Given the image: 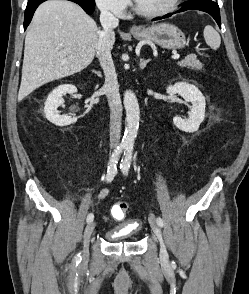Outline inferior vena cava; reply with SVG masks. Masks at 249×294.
<instances>
[{"instance_id":"obj_1","label":"inferior vena cava","mask_w":249,"mask_h":294,"mask_svg":"<svg viewBox=\"0 0 249 294\" xmlns=\"http://www.w3.org/2000/svg\"><path fill=\"white\" fill-rule=\"evenodd\" d=\"M100 22L103 31L100 33L96 56L104 71L105 83L103 85V91L107 96L110 107V146L116 147L121 137L122 104L115 67L111 56V37L114 34L113 29L118 26L119 20L106 8H101Z\"/></svg>"}]
</instances>
